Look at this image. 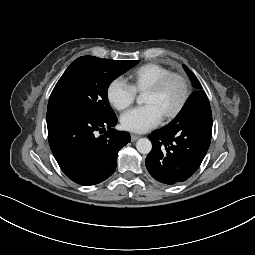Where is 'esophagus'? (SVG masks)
I'll return each mask as SVG.
<instances>
[{"label": "esophagus", "mask_w": 255, "mask_h": 255, "mask_svg": "<svg viewBox=\"0 0 255 255\" xmlns=\"http://www.w3.org/2000/svg\"><path fill=\"white\" fill-rule=\"evenodd\" d=\"M140 136L136 135V134H132L131 135V141H136L139 139Z\"/></svg>", "instance_id": "obj_1"}]
</instances>
